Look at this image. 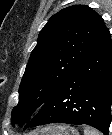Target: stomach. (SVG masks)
I'll list each match as a JSON object with an SVG mask.
<instances>
[{
	"label": "stomach",
	"instance_id": "0dacf381",
	"mask_svg": "<svg viewBox=\"0 0 112 135\" xmlns=\"http://www.w3.org/2000/svg\"><path fill=\"white\" fill-rule=\"evenodd\" d=\"M41 135H79V133L71 126L53 125L43 129Z\"/></svg>",
	"mask_w": 112,
	"mask_h": 135
}]
</instances>
